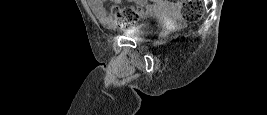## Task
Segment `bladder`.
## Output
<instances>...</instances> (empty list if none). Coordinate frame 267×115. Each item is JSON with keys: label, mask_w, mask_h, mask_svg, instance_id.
<instances>
[{"label": "bladder", "mask_w": 267, "mask_h": 115, "mask_svg": "<svg viewBox=\"0 0 267 115\" xmlns=\"http://www.w3.org/2000/svg\"><path fill=\"white\" fill-rule=\"evenodd\" d=\"M125 34L135 39H146L153 34V31L145 26H135L126 30Z\"/></svg>", "instance_id": "obj_1"}]
</instances>
